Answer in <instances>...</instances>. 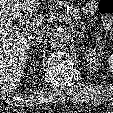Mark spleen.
<instances>
[{
	"label": "spleen",
	"instance_id": "spleen-1",
	"mask_svg": "<svg viewBox=\"0 0 113 113\" xmlns=\"http://www.w3.org/2000/svg\"><path fill=\"white\" fill-rule=\"evenodd\" d=\"M108 65H109L110 71L113 73V54L109 57Z\"/></svg>",
	"mask_w": 113,
	"mask_h": 113
}]
</instances>
